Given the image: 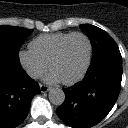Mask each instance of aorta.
I'll list each match as a JSON object with an SVG mask.
<instances>
[{
	"label": "aorta",
	"instance_id": "762f6f07",
	"mask_svg": "<svg viewBox=\"0 0 128 128\" xmlns=\"http://www.w3.org/2000/svg\"><path fill=\"white\" fill-rule=\"evenodd\" d=\"M49 100L52 104L59 106L63 104L65 100V94L60 88H53L49 91L48 94Z\"/></svg>",
	"mask_w": 128,
	"mask_h": 128
}]
</instances>
